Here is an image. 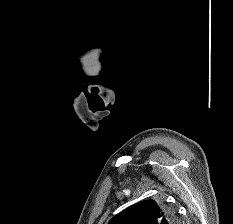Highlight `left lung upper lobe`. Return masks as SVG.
<instances>
[{"label": "left lung upper lobe", "mask_w": 233, "mask_h": 224, "mask_svg": "<svg viewBox=\"0 0 233 224\" xmlns=\"http://www.w3.org/2000/svg\"><path fill=\"white\" fill-rule=\"evenodd\" d=\"M177 215L165 202L145 200L138 202L118 215L108 224H176Z\"/></svg>", "instance_id": "left-lung-upper-lobe-1"}]
</instances>
